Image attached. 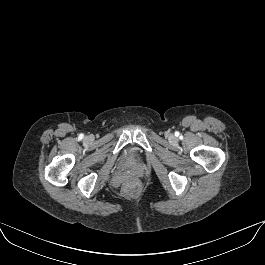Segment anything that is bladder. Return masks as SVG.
Listing matches in <instances>:
<instances>
[{"instance_id":"bladder-1","label":"bladder","mask_w":265,"mask_h":265,"mask_svg":"<svg viewBox=\"0 0 265 265\" xmlns=\"http://www.w3.org/2000/svg\"><path fill=\"white\" fill-rule=\"evenodd\" d=\"M124 161L127 163H133L140 159L139 153L135 148H128L124 153Z\"/></svg>"}]
</instances>
